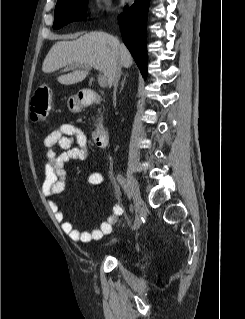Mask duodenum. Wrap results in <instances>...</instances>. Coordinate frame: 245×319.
<instances>
[{
    "label": "duodenum",
    "mask_w": 245,
    "mask_h": 319,
    "mask_svg": "<svg viewBox=\"0 0 245 319\" xmlns=\"http://www.w3.org/2000/svg\"><path fill=\"white\" fill-rule=\"evenodd\" d=\"M100 101V96L95 91H86L83 93L81 103L84 106H90ZM93 140L97 147L104 148L108 145L109 132L101 124H97L93 132Z\"/></svg>",
    "instance_id": "1"
}]
</instances>
